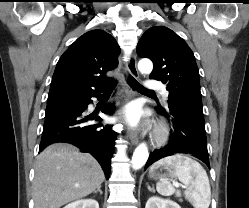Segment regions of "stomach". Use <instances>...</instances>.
<instances>
[{
	"label": "stomach",
	"mask_w": 249,
	"mask_h": 208,
	"mask_svg": "<svg viewBox=\"0 0 249 208\" xmlns=\"http://www.w3.org/2000/svg\"><path fill=\"white\" fill-rule=\"evenodd\" d=\"M150 177H154V174H151Z\"/></svg>",
	"instance_id": "0dacf381"
}]
</instances>
